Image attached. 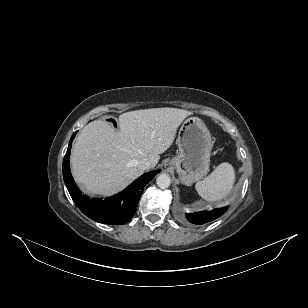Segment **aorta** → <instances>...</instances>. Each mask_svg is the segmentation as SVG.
Returning a JSON list of instances; mask_svg holds the SVG:
<instances>
[{
  "label": "aorta",
  "mask_w": 308,
  "mask_h": 308,
  "mask_svg": "<svg viewBox=\"0 0 308 308\" xmlns=\"http://www.w3.org/2000/svg\"><path fill=\"white\" fill-rule=\"evenodd\" d=\"M156 183L160 188H168L171 184V179L167 174H160L156 179Z\"/></svg>",
  "instance_id": "1"
}]
</instances>
